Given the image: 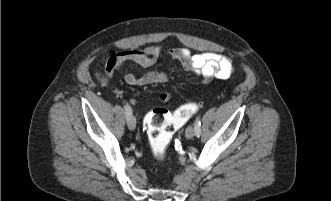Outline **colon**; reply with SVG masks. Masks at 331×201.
Segmentation results:
<instances>
[{
	"label": "colon",
	"instance_id": "5ec220e1",
	"mask_svg": "<svg viewBox=\"0 0 331 201\" xmlns=\"http://www.w3.org/2000/svg\"><path fill=\"white\" fill-rule=\"evenodd\" d=\"M197 110L194 102H188L174 113L164 108H156L145 116L150 147L153 155L162 159L175 131L183 125Z\"/></svg>",
	"mask_w": 331,
	"mask_h": 201
}]
</instances>
